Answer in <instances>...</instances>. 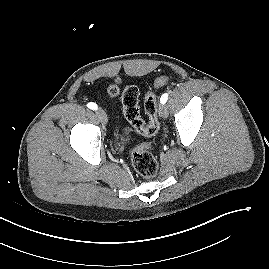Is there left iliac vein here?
<instances>
[{
  "mask_svg": "<svg viewBox=\"0 0 269 269\" xmlns=\"http://www.w3.org/2000/svg\"><path fill=\"white\" fill-rule=\"evenodd\" d=\"M159 114L163 118H167L168 117V109H167V106L165 104H161L160 105Z\"/></svg>",
  "mask_w": 269,
  "mask_h": 269,
  "instance_id": "1",
  "label": "left iliac vein"
}]
</instances>
